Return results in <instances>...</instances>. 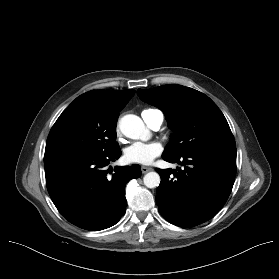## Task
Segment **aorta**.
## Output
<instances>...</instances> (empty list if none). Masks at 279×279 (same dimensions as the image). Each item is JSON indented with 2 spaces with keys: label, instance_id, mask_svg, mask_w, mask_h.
<instances>
[{
  "label": "aorta",
  "instance_id": "1",
  "mask_svg": "<svg viewBox=\"0 0 279 279\" xmlns=\"http://www.w3.org/2000/svg\"><path fill=\"white\" fill-rule=\"evenodd\" d=\"M120 131L128 138L144 140L148 138L149 131L141 118L128 114L119 122ZM144 185L148 188H156L160 184V176L157 172H149L143 177Z\"/></svg>",
  "mask_w": 279,
  "mask_h": 279
}]
</instances>
